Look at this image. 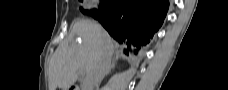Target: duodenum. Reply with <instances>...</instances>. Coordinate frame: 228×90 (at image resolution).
<instances>
[{
  "label": "duodenum",
  "instance_id": "1",
  "mask_svg": "<svg viewBox=\"0 0 228 90\" xmlns=\"http://www.w3.org/2000/svg\"><path fill=\"white\" fill-rule=\"evenodd\" d=\"M72 90H81L78 86L72 88Z\"/></svg>",
  "mask_w": 228,
  "mask_h": 90
}]
</instances>
